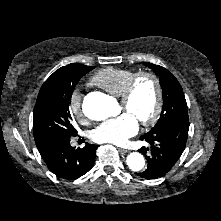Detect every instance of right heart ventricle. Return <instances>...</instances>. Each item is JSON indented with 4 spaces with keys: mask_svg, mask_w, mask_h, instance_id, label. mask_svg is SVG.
I'll use <instances>...</instances> for the list:
<instances>
[{
    "mask_svg": "<svg viewBox=\"0 0 221 221\" xmlns=\"http://www.w3.org/2000/svg\"><path fill=\"white\" fill-rule=\"evenodd\" d=\"M135 73L129 69L108 67L98 71L91 79L92 85L98 86L108 93L119 97L127 81Z\"/></svg>",
    "mask_w": 221,
    "mask_h": 221,
    "instance_id": "e07e8e85",
    "label": "right heart ventricle"
}]
</instances>
